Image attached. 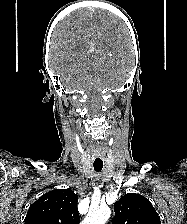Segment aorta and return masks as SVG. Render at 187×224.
<instances>
[{"mask_svg": "<svg viewBox=\"0 0 187 224\" xmlns=\"http://www.w3.org/2000/svg\"><path fill=\"white\" fill-rule=\"evenodd\" d=\"M110 215L111 210L107 206L91 209L81 224H105Z\"/></svg>", "mask_w": 187, "mask_h": 224, "instance_id": "aorta-1", "label": "aorta"}]
</instances>
